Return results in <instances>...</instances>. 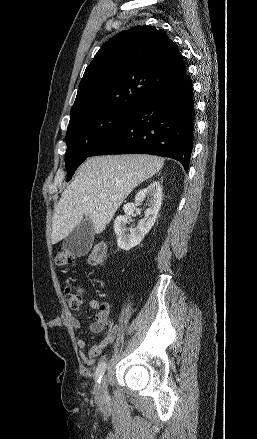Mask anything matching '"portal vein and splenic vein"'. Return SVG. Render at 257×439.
I'll use <instances>...</instances> for the list:
<instances>
[{"label":"portal vein and splenic vein","mask_w":257,"mask_h":439,"mask_svg":"<svg viewBox=\"0 0 257 439\" xmlns=\"http://www.w3.org/2000/svg\"><path fill=\"white\" fill-rule=\"evenodd\" d=\"M107 197V195L106 194H100L99 195V198H106ZM113 198V197H112Z\"/></svg>","instance_id":"obj_1"}]
</instances>
